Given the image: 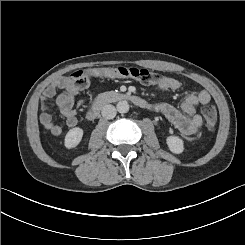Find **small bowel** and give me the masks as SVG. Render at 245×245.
Listing matches in <instances>:
<instances>
[{
	"label": "small bowel",
	"instance_id": "small-bowel-1",
	"mask_svg": "<svg viewBox=\"0 0 245 245\" xmlns=\"http://www.w3.org/2000/svg\"><path fill=\"white\" fill-rule=\"evenodd\" d=\"M180 86L181 84L177 79L169 77L163 78L157 85L161 90H177ZM58 90H61V93L57 96L56 105L65 117L64 124L54 122L49 103L50 99L56 95ZM76 93V89L67 78L56 80L44 90L41 98L42 113L40 115V122L52 135L62 136L65 127L68 129L76 128L78 123V107L82 104V101H79L77 106H74ZM209 101L210 94L206 90H201L197 94L187 96L182 101L181 111L167 103H155L151 106V109L165 116L181 134L186 137H191L198 133L202 125V118L197 114L196 108L200 104L204 105L209 103Z\"/></svg>",
	"mask_w": 245,
	"mask_h": 245
}]
</instances>
